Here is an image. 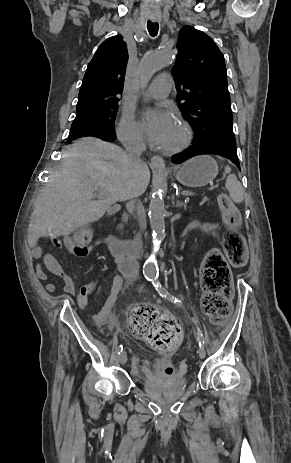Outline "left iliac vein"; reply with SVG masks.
<instances>
[{
  "instance_id": "left-iliac-vein-1",
  "label": "left iliac vein",
  "mask_w": 291,
  "mask_h": 463,
  "mask_svg": "<svg viewBox=\"0 0 291 463\" xmlns=\"http://www.w3.org/2000/svg\"><path fill=\"white\" fill-rule=\"evenodd\" d=\"M198 355L201 359L205 358L206 356V351L204 349V347H200L199 351H198Z\"/></svg>"
}]
</instances>
